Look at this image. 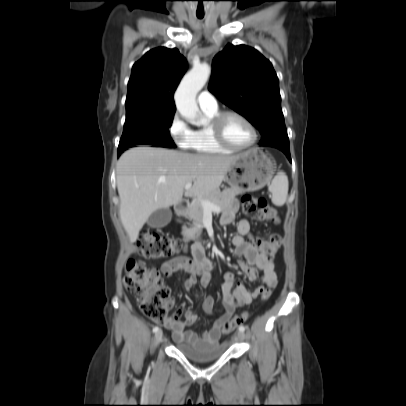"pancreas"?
Returning a JSON list of instances; mask_svg holds the SVG:
<instances>
[{
	"label": "pancreas",
	"instance_id": "cf45deb5",
	"mask_svg": "<svg viewBox=\"0 0 406 406\" xmlns=\"http://www.w3.org/2000/svg\"><path fill=\"white\" fill-rule=\"evenodd\" d=\"M241 193L240 190L230 188L225 189L222 192L216 190L210 194L205 196H199L193 199L189 210H188V218L193 220L194 225L190 228L186 226L183 227L182 234L189 238L194 239L196 235L200 234L202 231V220L204 215V209L201 205L202 200H208L209 202L217 205L220 208V211H224L229 208L231 202L235 199V196Z\"/></svg>",
	"mask_w": 406,
	"mask_h": 406
}]
</instances>
